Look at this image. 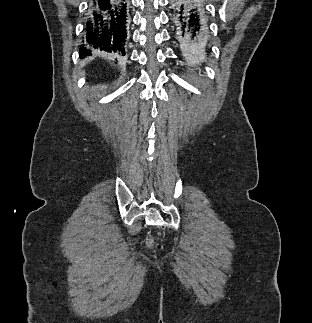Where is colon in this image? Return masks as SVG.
Returning a JSON list of instances; mask_svg holds the SVG:
<instances>
[{
    "instance_id": "5ec220e1",
    "label": "colon",
    "mask_w": 312,
    "mask_h": 323,
    "mask_svg": "<svg viewBox=\"0 0 312 323\" xmlns=\"http://www.w3.org/2000/svg\"><path fill=\"white\" fill-rule=\"evenodd\" d=\"M148 247H152L154 245V241L153 240H149L147 243Z\"/></svg>"
}]
</instances>
